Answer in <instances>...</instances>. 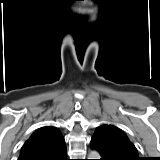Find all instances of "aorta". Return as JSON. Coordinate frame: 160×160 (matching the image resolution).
I'll return each mask as SVG.
<instances>
[{
	"label": "aorta",
	"instance_id": "obj_1",
	"mask_svg": "<svg viewBox=\"0 0 160 160\" xmlns=\"http://www.w3.org/2000/svg\"><path fill=\"white\" fill-rule=\"evenodd\" d=\"M89 159H99L100 154L97 151H91L88 155Z\"/></svg>",
	"mask_w": 160,
	"mask_h": 160
}]
</instances>
